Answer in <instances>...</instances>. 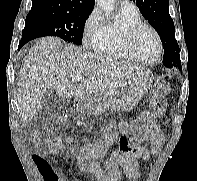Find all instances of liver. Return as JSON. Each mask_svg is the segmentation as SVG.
I'll return each instance as SVG.
<instances>
[{"mask_svg": "<svg viewBox=\"0 0 197 181\" xmlns=\"http://www.w3.org/2000/svg\"><path fill=\"white\" fill-rule=\"evenodd\" d=\"M61 47L59 38L44 37L29 50L20 69L17 93L23 123L31 121L42 109V98L48 89L55 90L61 98L85 99L152 74L139 65L74 45H67L57 53ZM76 75L85 80L79 84L71 82Z\"/></svg>", "mask_w": 197, "mask_h": 181, "instance_id": "1", "label": "liver"}]
</instances>
